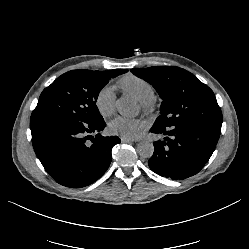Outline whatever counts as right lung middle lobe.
Instances as JSON below:
<instances>
[{"label": "right lung middle lobe", "mask_w": 249, "mask_h": 249, "mask_svg": "<svg viewBox=\"0 0 249 249\" xmlns=\"http://www.w3.org/2000/svg\"><path fill=\"white\" fill-rule=\"evenodd\" d=\"M128 70L108 71L72 70L58 77L43 90L31 115L35 119L61 117L84 123L103 120L96 101L99 92L111 78Z\"/></svg>", "instance_id": "1"}]
</instances>
